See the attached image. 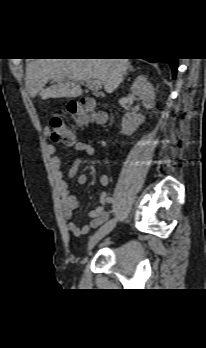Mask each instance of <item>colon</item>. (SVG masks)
Returning a JSON list of instances; mask_svg holds the SVG:
<instances>
[{
  "label": "colon",
  "instance_id": "obj_1",
  "mask_svg": "<svg viewBox=\"0 0 206 348\" xmlns=\"http://www.w3.org/2000/svg\"><path fill=\"white\" fill-rule=\"evenodd\" d=\"M66 115L75 117L77 125H84L93 121H104V116L101 113H95L90 107L83 109L79 103L72 102L67 106L65 112L57 113L50 119L49 137L54 142L66 144H73L75 142V132L74 129L66 123Z\"/></svg>",
  "mask_w": 206,
  "mask_h": 348
}]
</instances>
